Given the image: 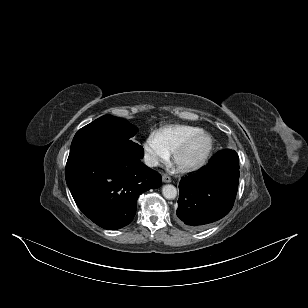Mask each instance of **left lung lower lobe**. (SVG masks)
Instances as JSON below:
<instances>
[{
  "label": "left lung lower lobe",
  "instance_id": "obj_1",
  "mask_svg": "<svg viewBox=\"0 0 308 308\" xmlns=\"http://www.w3.org/2000/svg\"><path fill=\"white\" fill-rule=\"evenodd\" d=\"M239 183V158L234 150L218 152L199 172L180 181L178 222L201 230L226 216L234 205Z\"/></svg>",
  "mask_w": 308,
  "mask_h": 308
}]
</instances>
